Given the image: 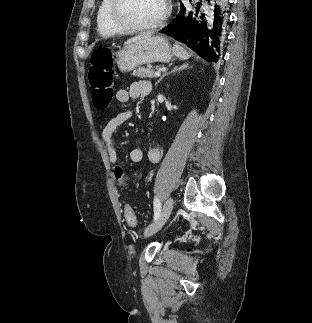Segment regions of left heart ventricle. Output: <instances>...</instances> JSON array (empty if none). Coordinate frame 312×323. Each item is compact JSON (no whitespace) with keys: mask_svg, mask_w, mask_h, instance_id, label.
Here are the masks:
<instances>
[{"mask_svg":"<svg viewBox=\"0 0 312 323\" xmlns=\"http://www.w3.org/2000/svg\"><path fill=\"white\" fill-rule=\"evenodd\" d=\"M163 9V0H118L116 14H121V18L144 22L146 18H158Z\"/></svg>","mask_w":312,"mask_h":323,"instance_id":"left-heart-ventricle-1","label":"left heart ventricle"}]
</instances>
